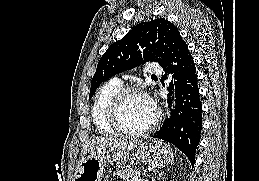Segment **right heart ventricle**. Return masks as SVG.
Here are the masks:
<instances>
[{
    "mask_svg": "<svg viewBox=\"0 0 259 181\" xmlns=\"http://www.w3.org/2000/svg\"><path fill=\"white\" fill-rule=\"evenodd\" d=\"M122 88L121 84L113 80L103 84L96 92L91 117L96 130L104 135H113L116 133L109 117V109L114 96Z\"/></svg>",
    "mask_w": 259,
    "mask_h": 181,
    "instance_id": "1",
    "label": "right heart ventricle"
}]
</instances>
